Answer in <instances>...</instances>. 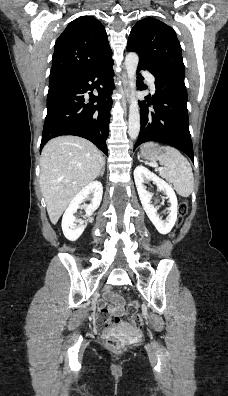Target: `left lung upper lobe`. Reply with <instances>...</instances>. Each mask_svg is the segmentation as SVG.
<instances>
[{"label": "left lung upper lobe", "mask_w": 228, "mask_h": 396, "mask_svg": "<svg viewBox=\"0 0 228 396\" xmlns=\"http://www.w3.org/2000/svg\"><path fill=\"white\" fill-rule=\"evenodd\" d=\"M127 50L139 54V67L155 74L184 78L181 46L175 31L152 17L138 21L132 28Z\"/></svg>", "instance_id": "left-lung-upper-lobe-1"}]
</instances>
